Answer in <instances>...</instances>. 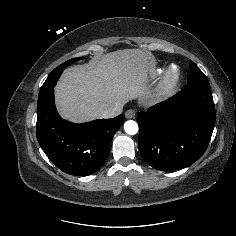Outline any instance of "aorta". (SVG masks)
<instances>
[{
    "label": "aorta",
    "instance_id": "762f6f07",
    "mask_svg": "<svg viewBox=\"0 0 236 236\" xmlns=\"http://www.w3.org/2000/svg\"><path fill=\"white\" fill-rule=\"evenodd\" d=\"M124 130L129 135H135L138 132V124L133 120H128L124 124Z\"/></svg>",
    "mask_w": 236,
    "mask_h": 236
}]
</instances>
